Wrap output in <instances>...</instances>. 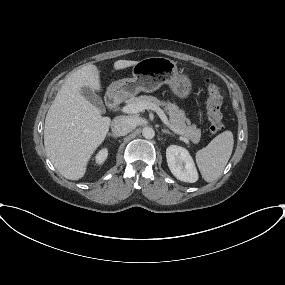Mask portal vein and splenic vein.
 Returning a JSON list of instances; mask_svg holds the SVG:
<instances>
[{
    "label": "portal vein and splenic vein",
    "mask_w": 285,
    "mask_h": 285,
    "mask_svg": "<svg viewBox=\"0 0 285 285\" xmlns=\"http://www.w3.org/2000/svg\"><path fill=\"white\" fill-rule=\"evenodd\" d=\"M144 109H151L155 111L167 127H169L176 134H180L179 131L171 125L164 111L154 104L145 105L144 103H134L124 106L121 110L127 114H135L143 111Z\"/></svg>",
    "instance_id": "obj_1"
}]
</instances>
